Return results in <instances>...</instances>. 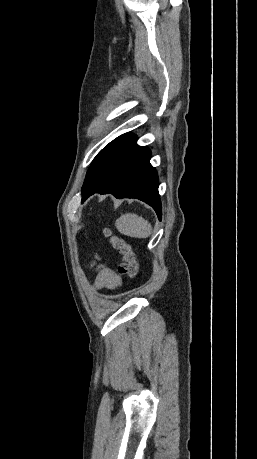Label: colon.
Wrapping results in <instances>:
<instances>
[{"instance_id":"obj_1","label":"colon","mask_w":257,"mask_h":459,"mask_svg":"<svg viewBox=\"0 0 257 459\" xmlns=\"http://www.w3.org/2000/svg\"><path fill=\"white\" fill-rule=\"evenodd\" d=\"M111 244L121 256V263L118 266L119 273L126 277H134L138 271V261L133 245L119 236H112Z\"/></svg>"}]
</instances>
